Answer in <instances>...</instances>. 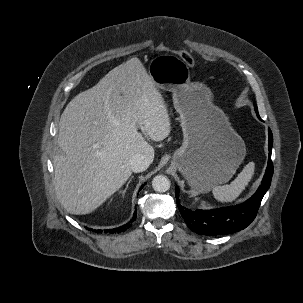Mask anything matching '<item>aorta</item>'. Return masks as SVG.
<instances>
[{"instance_id":"aorta-1","label":"aorta","mask_w":303,"mask_h":303,"mask_svg":"<svg viewBox=\"0 0 303 303\" xmlns=\"http://www.w3.org/2000/svg\"><path fill=\"white\" fill-rule=\"evenodd\" d=\"M152 187L157 192H166L170 188V181L164 175H157L152 180Z\"/></svg>"}]
</instances>
